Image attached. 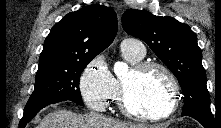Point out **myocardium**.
Masks as SVG:
<instances>
[{"instance_id": "myocardium-1", "label": "myocardium", "mask_w": 221, "mask_h": 128, "mask_svg": "<svg viewBox=\"0 0 221 128\" xmlns=\"http://www.w3.org/2000/svg\"><path fill=\"white\" fill-rule=\"evenodd\" d=\"M157 69L160 70L166 80L168 81L170 94H169V103L163 112L152 113V114H144L138 113L134 111L130 105L128 104V91L124 81L121 83V91H120V99H119V107L125 116L139 121H161L163 119L171 116L177 109L178 99H179V86L177 83V79L172 71L162 63L145 61L139 63L138 65L132 68V72L135 74H143L146 71Z\"/></svg>"}]
</instances>
